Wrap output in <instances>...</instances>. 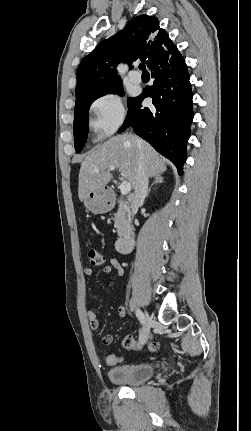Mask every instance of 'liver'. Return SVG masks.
Masks as SVG:
<instances>
[{
	"label": "liver",
	"instance_id": "6515ba94",
	"mask_svg": "<svg viewBox=\"0 0 251 431\" xmlns=\"http://www.w3.org/2000/svg\"><path fill=\"white\" fill-rule=\"evenodd\" d=\"M142 156L148 177L166 171L165 160L146 141L136 135H117L84 157L79 172L78 196L83 201L91 191L105 188L111 181L109 166L119 169L122 179L134 189L137 184L138 161ZM98 169L99 172H94Z\"/></svg>",
	"mask_w": 251,
	"mask_h": 431
}]
</instances>
